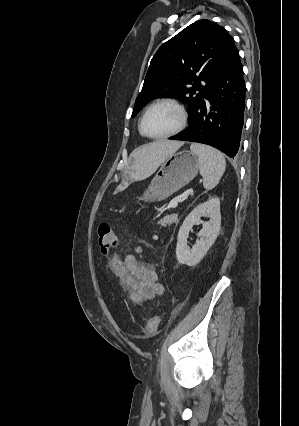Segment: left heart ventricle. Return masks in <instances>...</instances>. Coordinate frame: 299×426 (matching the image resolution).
I'll return each instance as SVG.
<instances>
[{
  "label": "left heart ventricle",
  "instance_id": "1",
  "mask_svg": "<svg viewBox=\"0 0 299 426\" xmlns=\"http://www.w3.org/2000/svg\"><path fill=\"white\" fill-rule=\"evenodd\" d=\"M180 123V113L172 105L161 104L150 110L144 121L145 131L153 136L167 134Z\"/></svg>",
  "mask_w": 299,
  "mask_h": 426
}]
</instances>
